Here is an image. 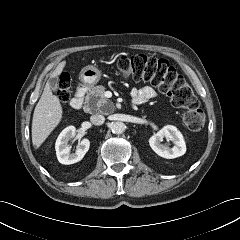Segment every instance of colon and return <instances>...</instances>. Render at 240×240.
<instances>
[{
  "label": "colon",
  "instance_id": "obj_1",
  "mask_svg": "<svg viewBox=\"0 0 240 240\" xmlns=\"http://www.w3.org/2000/svg\"><path fill=\"white\" fill-rule=\"evenodd\" d=\"M119 68L126 78L150 83L167 95L174 106L185 109L183 120L190 130L204 127L205 115L192 88L166 60L138 54L123 57ZM57 97L62 103L70 99V77L66 73L60 76Z\"/></svg>",
  "mask_w": 240,
  "mask_h": 240
}]
</instances>
